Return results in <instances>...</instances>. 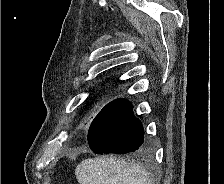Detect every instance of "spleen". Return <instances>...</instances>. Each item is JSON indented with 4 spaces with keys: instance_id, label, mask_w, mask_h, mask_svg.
<instances>
[{
    "instance_id": "1",
    "label": "spleen",
    "mask_w": 224,
    "mask_h": 184,
    "mask_svg": "<svg viewBox=\"0 0 224 184\" xmlns=\"http://www.w3.org/2000/svg\"><path fill=\"white\" fill-rule=\"evenodd\" d=\"M75 175L80 184H151L143 167L113 157L84 160Z\"/></svg>"
}]
</instances>
